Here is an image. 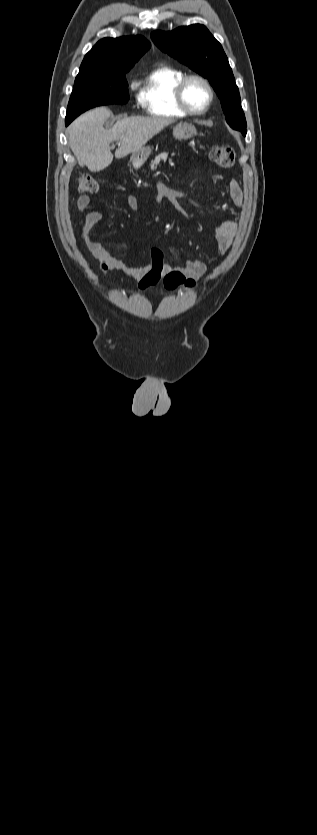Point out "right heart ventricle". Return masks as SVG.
<instances>
[{
    "label": "right heart ventricle",
    "instance_id": "obj_1",
    "mask_svg": "<svg viewBox=\"0 0 317 835\" xmlns=\"http://www.w3.org/2000/svg\"><path fill=\"white\" fill-rule=\"evenodd\" d=\"M181 69L168 64L153 68L142 80L139 100L147 114L161 118L184 117L187 114L179 107L175 90L185 76Z\"/></svg>",
    "mask_w": 317,
    "mask_h": 835
}]
</instances>
